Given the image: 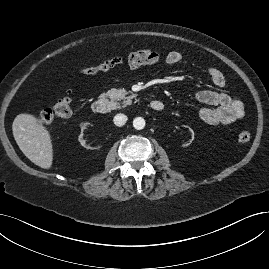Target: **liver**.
Segmentation results:
<instances>
[{"label": "liver", "instance_id": "1", "mask_svg": "<svg viewBox=\"0 0 269 269\" xmlns=\"http://www.w3.org/2000/svg\"><path fill=\"white\" fill-rule=\"evenodd\" d=\"M14 139L23 154L35 165L50 169L53 145L49 130L34 115L18 114L12 124Z\"/></svg>", "mask_w": 269, "mask_h": 269}]
</instances>
